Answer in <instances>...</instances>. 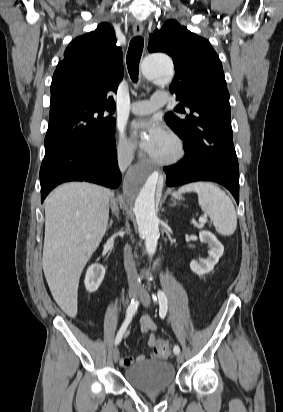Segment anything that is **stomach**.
<instances>
[{
  "mask_svg": "<svg viewBox=\"0 0 283 412\" xmlns=\"http://www.w3.org/2000/svg\"><path fill=\"white\" fill-rule=\"evenodd\" d=\"M175 198H179L180 196L178 194H174Z\"/></svg>",
  "mask_w": 283,
  "mask_h": 412,
  "instance_id": "1",
  "label": "stomach"
}]
</instances>
